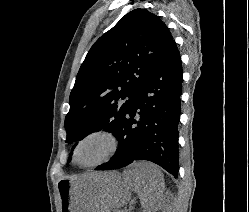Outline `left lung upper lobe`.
<instances>
[{
    "instance_id": "1",
    "label": "left lung upper lobe",
    "mask_w": 249,
    "mask_h": 212,
    "mask_svg": "<svg viewBox=\"0 0 249 212\" xmlns=\"http://www.w3.org/2000/svg\"><path fill=\"white\" fill-rule=\"evenodd\" d=\"M173 41L166 25L146 9L129 12L102 35L71 91L66 142L102 129L117 136L134 96Z\"/></svg>"
}]
</instances>
